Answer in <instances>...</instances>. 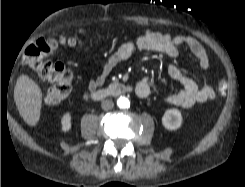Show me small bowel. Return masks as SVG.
I'll return each mask as SVG.
<instances>
[{
    "label": "small bowel",
    "mask_w": 245,
    "mask_h": 187,
    "mask_svg": "<svg viewBox=\"0 0 245 187\" xmlns=\"http://www.w3.org/2000/svg\"><path fill=\"white\" fill-rule=\"evenodd\" d=\"M186 46L197 58L202 70L209 68V57L202 44L189 35H170L155 31H146L144 34L122 43L118 49L103 63L100 71L94 75L88 84V90L94 91L101 87L112 70L120 63L127 61L136 50L153 51L168 57H178L179 47ZM167 73L170 78L182 85V89L163 98L166 104L183 109L193 107L214 98L215 92L210 86H200L192 77L185 74L176 65H169ZM154 87L149 78H143L136 84L137 95L141 98L148 96Z\"/></svg>",
    "instance_id": "small-bowel-1"
}]
</instances>
